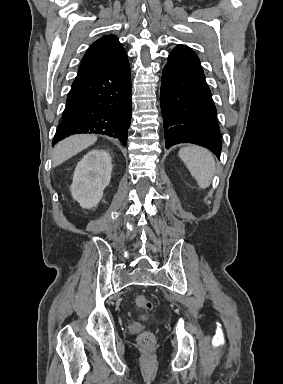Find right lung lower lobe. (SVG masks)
<instances>
[{
  "mask_svg": "<svg viewBox=\"0 0 283 384\" xmlns=\"http://www.w3.org/2000/svg\"><path fill=\"white\" fill-rule=\"evenodd\" d=\"M131 114L129 62L75 79L52 144L72 134L96 133L118 138L125 146Z\"/></svg>",
  "mask_w": 283,
  "mask_h": 384,
  "instance_id": "1",
  "label": "right lung lower lobe"
}]
</instances>
